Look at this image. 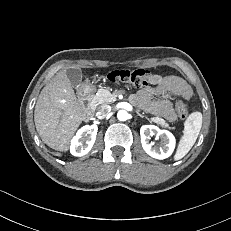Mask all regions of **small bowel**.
Listing matches in <instances>:
<instances>
[{
    "label": "small bowel",
    "instance_id": "1",
    "mask_svg": "<svg viewBox=\"0 0 231 231\" xmlns=\"http://www.w3.org/2000/svg\"><path fill=\"white\" fill-rule=\"evenodd\" d=\"M150 84L140 90L132 100L142 103L145 109L154 115L162 116L169 121L175 120L176 114L170 99L173 96L189 99L192 95L191 87L177 76L156 75L151 79ZM154 97L159 98L154 99Z\"/></svg>",
    "mask_w": 231,
    "mask_h": 231
}]
</instances>
